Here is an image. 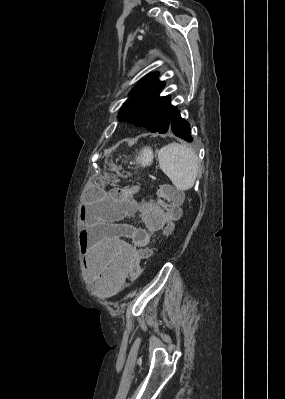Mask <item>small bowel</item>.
<instances>
[{
	"instance_id": "1",
	"label": "small bowel",
	"mask_w": 285,
	"mask_h": 399,
	"mask_svg": "<svg viewBox=\"0 0 285 399\" xmlns=\"http://www.w3.org/2000/svg\"><path fill=\"white\" fill-rule=\"evenodd\" d=\"M117 215L121 218L137 215L142 227H125L120 235L107 234L105 230L95 234L99 242L88 248L87 268L98 280V289L107 295L117 294L134 279L131 267L138 251L148 245L150 236L159 232L169 219V214L158 205L145 206L137 200L124 206Z\"/></svg>"
}]
</instances>
